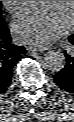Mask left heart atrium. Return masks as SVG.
<instances>
[{"instance_id":"1","label":"left heart atrium","mask_w":74,"mask_h":122,"mask_svg":"<svg viewBox=\"0 0 74 122\" xmlns=\"http://www.w3.org/2000/svg\"><path fill=\"white\" fill-rule=\"evenodd\" d=\"M67 20L54 5L31 9L19 14L12 23L16 39L21 43L46 44L65 34Z\"/></svg>"}]
</instances>
